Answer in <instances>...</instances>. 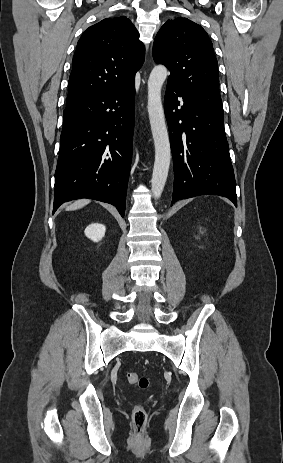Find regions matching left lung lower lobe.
Listing matches in <instances>:
<instances>
[{
	"instance_id": "left-lung-lower-lobe-1",
	"label": "left lung lower lobe",
	"mask_w": 283,
	"mask_h": 463,
	"mask_svg": "<svg viewBox=\"0 0 283 463\" xmlns=\"http://www.w3.org/2000/svg\"><path fill=\"white\" fill-rule=\"evenodd\" d=\"M164 111L174 163L172 203L198 195H220L237 206L236 183L224 117L167 82Z\"/></svg>"
}]
</instances>
